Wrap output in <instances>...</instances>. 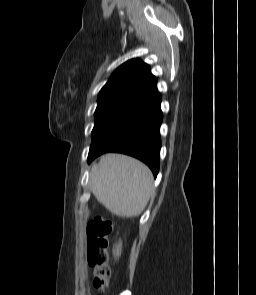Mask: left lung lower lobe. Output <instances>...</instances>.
<instances>
[{
  "mask_svg": "<svg viewBox=\"0 0 256 295\" xmlns=\"http://www.w3.org/2000/svg\"><path fill=\"white\" fill-rule=\"evenodd\" d=\"M161 96L130 114L91 145L88 163L107 152L124 153L146 163L154 177L159 172Z\"/></svg>",
  "mask_w": 256,
  "mask_h": 295,
  "instance_id": "obj_1",
  "label": "left lung lower lobe"
}]
</instances>
